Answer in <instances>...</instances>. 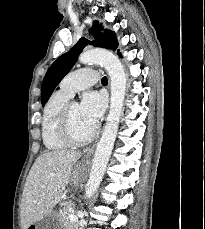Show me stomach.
Returning <instances> with one entry per match:
<instances>
[{
    "mask_svg": "<svg viewBox=\"0 0 205 229\" xmlns=\"http://www.w3.org/2000/svg\"><path fill=\"white\" fill-rule=\"evenodd\" d=\"M86 170V162H81L73 170L71 179L77 183L84 176ZM27 229H63V225L59 221L58 213L52 210L43 219L31 224Z\"/></svg>",
    "mask_w": 205,
    "mask_h": 229,
    "instance_id": "stomach-1",
    "label": "stomach"
}]
</instances>
